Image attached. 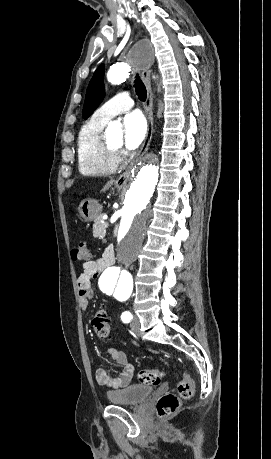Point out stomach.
I'll return each instance as SVG.
<instances>
[{"mask_svg":"<svg viewBox=\"0 0 271 459\" xmlns=\"http://www.w3.org/2000/svg\"><path fill=\"white\" fill-rule=\"evenodd\" d=\"M117 190H123L122 186H116ZM77 216L80 220L84 222H91V220H96L101 212V206H99L97 200H82L76 208Z\"/></svg>","mask_w":271,"mask_h":459,"instance_id":"0dacf381","label":"stomach"}]
</instances>
